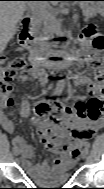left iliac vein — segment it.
Instances as JSON below:
<instances>
[{"mask_svg": "<svg viewBox=\"0 0 104 189\" xmlns=\"http://www.w3.org/2000/svg\"><path fill=\"white\" fill-rule=\"evenodd\" d=\"M81 156H82L83 159H86L87 156H88V151L86 149L83 150Z\"/></svg>", "mask_w": 104, "mask_h": 189, "instance_id": "4c4485c4", "label": "left iliac vein"}]
</instances>
